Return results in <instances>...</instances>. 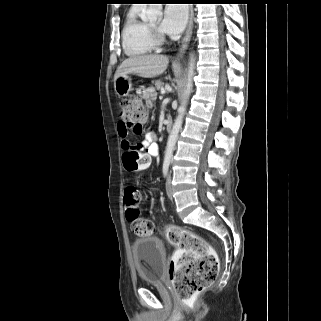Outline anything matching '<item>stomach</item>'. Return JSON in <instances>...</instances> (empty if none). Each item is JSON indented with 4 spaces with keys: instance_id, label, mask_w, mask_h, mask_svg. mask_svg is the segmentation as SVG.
Wrapping results in <instances>:
<instances>
[{
    "instance_id": "0dacf381",
    "label": "stomach",
    "mask_w": 321,
    "mask_h": 321,
    "mask_svg": "<svg viewBox=\"0 0 321 321\" xmlns=\"http://www.w3.org/2000/svg\"><path fill=\"white\" fill-rule=\"evenodd\" d=\"M114 88L119 96H126L133 90L132 79L129 75H123L115 79Z\"/></svg>"
}]
</instances>
